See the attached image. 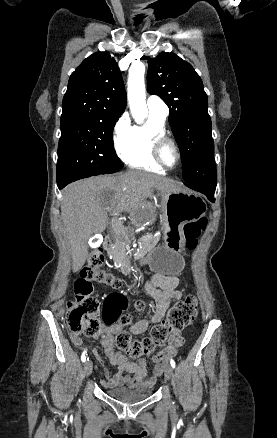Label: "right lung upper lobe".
Masks as SVG:
<instances>
[{"label": "right lung upper lobe", "instance_id": "right-lung-upper-lobe-1", "mask_svg": "<svg viewBox=\"0 0 277 438\" xmlns=\"http://www.w3.org/2000/svg\"><path fill=\"white\" fill-rule=\"evenodd\" d=\"M126 104V91L116 61L107 52H97L70 76L61 118L118 120Z\"/></svg>", "mask_w": 277, "mask_h": 438}]
</instances>
